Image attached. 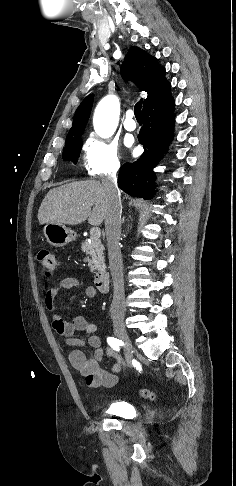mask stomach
I'll return each mask as SVG.
<instances>
[{"mask_svg": "<svg viewBox=\"0 0 236 486\" xmlns=\"http://www.w3.org/2000/svg\"><path fill=\"white\" fill-rule=\"evenodd\" d=\"M43 231L47 241L54 247H63L75 239L73 231L64 224L47 223Z\"/></svg>", "mask_w": 236, "mask_h": 486, "instance_id": "0dacf381", "label": "stomach"}]
</instances>
